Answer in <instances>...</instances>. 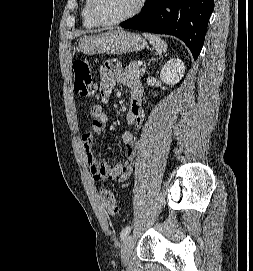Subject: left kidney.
Here are the masks:
<instances>
[{"label": "left kidney", "instance_id": "obj_1", "mask_svg": "<svg viewBox=\"0 0 253 271\" xmlns=\"http://www.w3.org/2000/svg\"><path fill=\"white\" fill-rule=\"evenodd\" d=\"M184 73L185 66L182 60L173 58L163 66L160 72V79L168 85H175L184 77Z\"/></svg>", "mask_w": 253, "mask_h": 271}]
</instances>
